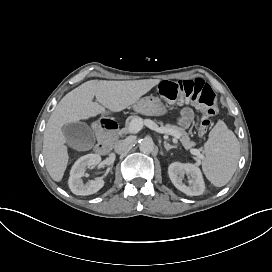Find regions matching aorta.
Wrapping results in <instances>:
<instances>
[{
    "instance_id": "obj_1",
    "label": "aorta",
    "mask_w": 272,
    "mask_h": 272,
    "mask_svg": "<svg viewBox=\"0 0 272 272\" xmlns=\"http://www.w3.org/2000/svg\"><path fill=\"white\" fill-rule=\"evenodd\" d=\"M154 147L155 145L152 139L144 138L140 143L139 149L143 153H151L153 152Z\"/></svg>"
}]
</instances>
